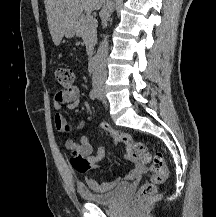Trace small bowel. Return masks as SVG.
I'll list each match as a JSON object with an SVG mask.
<instances>
[{
	"instance_id": "obj_1",
	"label": "small bowel",
	"mask_w": 216,
	"mask_h": 217,
	"mask_svg": "<svg viewBox=\"0 0 216 217\" xmlns=\"http://www.w3.org/2000/svg\"><path fill=\"white\" fill-rule=\"evenodd\" d=\"M80 103V91L78 87L72 86L69 89H62L57 91L53 96V105L56 110L54 115V123L59 132H66L67 121L62 114V108L65 106L68 109H75ZM66 147L69 150L77 151L78 153L88 157L94 168L104 159L106 151L103 146H99L96 153L93 154V147L88 136H82L78 141L68 139ZM143 170V166L135 163L134 167L126 175L127 179L136 178ZM119 182L118 178H114L107 182H100L94 178L87 177L85 179V186L93 191L104 192L112 189Z\"/></svg>"
}]
</instances>
